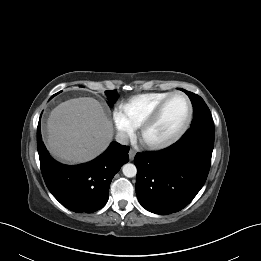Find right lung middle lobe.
<instances>
[{
  "instance_id": "1",
  "label": "right lung middle lobe",
  "mask_w": 261,
  "mask_h": 261,
  "mask_svg": "<svg viewBox=\"0 0 261 261\" xmlns=\"http://www.w3.org/2000/svg\"><path fill=\"white\" fill-rule=\"evenodd\" d=\"M108 97V104L112 106V104L117 100L118 94L116 90H110L105 92ZM58 94V93H57ZM56 95V94H55Z\"/></svg>"
}]
</instances>
